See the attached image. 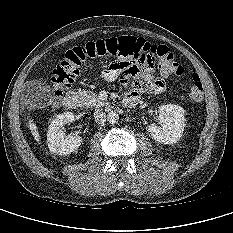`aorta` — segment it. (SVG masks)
<instances>
[{
	"mask_svg": "<svg viewBox=\"0 0 233 233\" xmlns=\"http://www.w3.org/2000/svg\"><path fill=\"white\" fill-rule=\"evenodd\" d=\"M118 120H119V115L116 112L111 111L107 114V121L110 124H115L118 122Z\"/></svg>",
	"mask_w": 233,
	"mask_h": 233,
	"instance_id": "obj_1",
	"label": "aorta"
}]
</instances>
